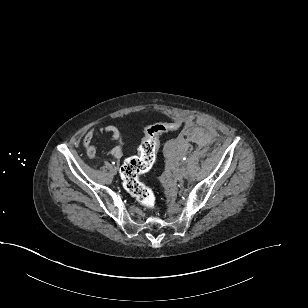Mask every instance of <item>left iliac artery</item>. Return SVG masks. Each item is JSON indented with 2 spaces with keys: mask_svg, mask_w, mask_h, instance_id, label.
Here are the masks:
<instances>
[{
  "mask_svg": "<svg viewBox=\"0 0 308 308\" xmlns=\"http://www.w3.org/2000/svg\"><path fill=\"white\" fill-rule=\"evenodd\" d=\"M183 160L185 161V160H186V157H184Z\"/></svg>",
  "mask_w": 308,
  "mask_h": 308,
  "instance_id": "left-iliac-artery-1",
  "label": "left iliac artery"
}]
</instances>
